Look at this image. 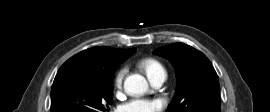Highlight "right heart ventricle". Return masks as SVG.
I'll list each match as a JSON object with an SVG mask.
<instances>
[{"mask_svg": "<svg viewBox=\"0 0 270 112\" xmlns=\"http://www.w3.org/2000/svg\"><path fill=\"white\" fill-rule=\"evenodd\" d=\"M140 67L146 73L149 80L160 74L166 75V70L164 66L162 65V63L154 58H148V59L143 60L140 63Z\"/></svg>", "mask_w": 270, "mask_h": 112, "instance_id": "1", "label": "right heart ventricle"}]
</instances>
